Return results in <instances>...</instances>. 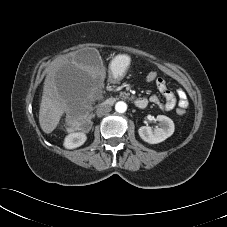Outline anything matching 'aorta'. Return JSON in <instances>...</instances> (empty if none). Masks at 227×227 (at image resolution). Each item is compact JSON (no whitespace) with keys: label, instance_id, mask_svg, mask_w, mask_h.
Instances as JSON below:
<instances>
[{"label":"aorta","instance_id":"1","mask_svg":"<svg viewBox=\"0 0 227 227\" xmlns=\"http://www.w3.org/2000/svg\"><path fill=\"white\" fill-rule=\"evenodd\" d=\"M115 110L118 113H124L127 110V104L123 101H119L115 104Z\"/></svg>","mask_w":227,"mask_h":227}]
</instances>
